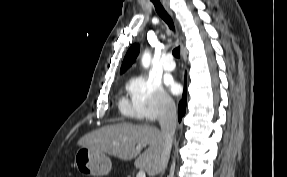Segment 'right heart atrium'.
Returning a JSON list of instances; mask_svg holds the SVG:
<instances>
[{
    "label": "right heart atrium",
    "instance_id": "d8ad5b80",
    "mask_svg": "<svg viewBox=\"0 0 287 177\" xmlns=\"http://www.w3.org/2000/svg\"><path fill=\"white\" fill-rule=\"evenodd\" d=\"M128 91L132 99L133 114L141 122H154L174 108L172 98L155 76L145 75L131 79Z\"/></svg>",
    "mask_w": 287,
    "mask_h": 177
}]
</instances>
